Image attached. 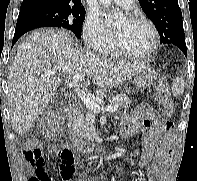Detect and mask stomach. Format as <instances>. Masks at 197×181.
<instances>
[{"label": "stomach", "mask_w": 197, "mask_h": 181, "mask_svg": "<svg viewBox=\"0 0 197 181\" xmlns=\"http://www.w3.org/2000/svg\"><path fill=\"white\" fill-rule=\"evenodd\" d=\"M156 71L148 65H145L134 77V84L139 90H145L151 87L156 79Z\"/></svg>", "instance_id": "stomach-1"}]
</instances>
